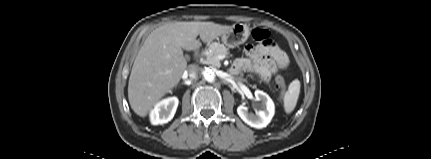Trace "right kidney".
Listing matches in <instances>:
<instances>
[{
	"label": "right kidney",
	"mask_w": 431,
	"mask_h": 159,
	"mask_svg": "<svg viewBox=\"0 0 431 159\" xmlns=\"http://www.w3.org/2000/svg\"><path fill=\"white\" fill-rule=\"evenodd\" d=\"M179 100L177 97H170L158 102L150 113V120L153 125L169 122L176 112Z\"/></svg>",
	"instance_id": "1"
}]
</instances>
